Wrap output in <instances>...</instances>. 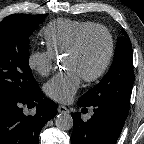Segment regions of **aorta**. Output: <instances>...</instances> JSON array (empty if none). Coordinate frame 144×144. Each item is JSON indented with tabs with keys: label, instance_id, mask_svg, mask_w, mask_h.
Listing matches in <instances>:
<instances>
[{
	"label": "aorta",
	"instance_id": "762f6f07",
	"mask_svg": "<svg viewBox=\"0 0 144 144\" xmlns=\"http://www.w3.org/2000/svg\"><path fill=\"white\" fill-rule=\"evenodd\" d=\"M55 124L60 130H70L73 127V118L69 113H60L56 116Z\"/></svg>",
	"mask_w": 144,
	"mask_h": 144
}]
</instances>
